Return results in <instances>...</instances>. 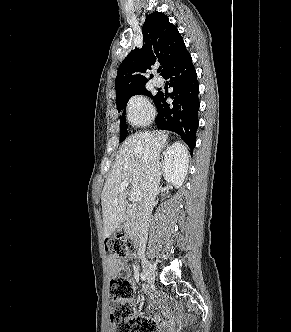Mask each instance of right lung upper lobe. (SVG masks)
<instances>
[{
  "mask_svg": "<svg viewBox=\"0 0 291 332\" xmlns=\"http://www.w3.org/2000/svg\"><path fill=\"white\" fill-rule=\"evenodd\" d=\"M142 49L131 51L120 64L115 80L117 100L128 93L145 87L144 76L150 65L160 62L163 67L161 75L180 64L190 54L186 50L183 39L177 28L169 23L167 15L161 12L149 14L142 27Z\"/></svg>",
  "mask_w": 291,
  "mask_h": 332,
  "instance_id": "obj_1",
  "label": "right lung upper lobe"
}]
</instances>
